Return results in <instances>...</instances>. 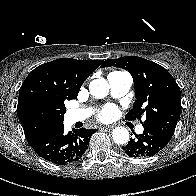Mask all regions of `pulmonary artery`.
Returning <instances> with one entry per match:
<instances>
[{"label": "pulmonary artery", "instance_id": "pulmonary-artery-1", "mask_svg": "<svg viewBox=\"0 0 196 196\" xmlns=\"http://www.w3.org/2000/svg\"><path fill=\"white\" fill-rule=\"evenodd\" d=\"M110 92L113 97H121L128 93L132 85V77L127 72H111L107 76ZM92 113L91 109H73L67 114L68 119L75 123L87 119ZM142 125L137 126L136 131L142 133Z\"/></svg>", "mask_w": 196, "mask_h": 196}]
</instances>
